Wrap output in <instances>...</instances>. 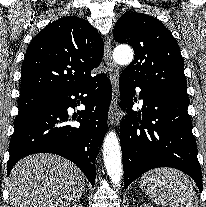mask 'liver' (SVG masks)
<instances>
[{"instance_id":"1","label":"liver","mask_w":206,"mask_h":207,"mask_svg":"<svg viewBox=\"0 0 206 207\" xmlns=\"http://www.w3.org/2000/svg\"><path fill=\"white\" fill-rule=\"evenodd\" d=\"M8 189L12 207H70L82 196L85 177L60 156L34 154L13 167Z\"/></svg>"}]
</instances>
